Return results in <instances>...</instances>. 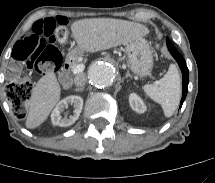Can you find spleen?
I'll return each mask as SVG.
<instances>
[{
    "mask_svg": "<svg viewBox=\"0 0 215 183\" xmlns=\"http://www.w3.org/2000/svg\"><path fill=\"white\" fill-rule=\"evenodd\" d=\"M144 91L162 106L166 117L172 116L181 96V79L176 65L171 64L167 73L155 84H146Z\"/></svg>",
    "mask_w": 215,
    "mask_h": 183,
    "instance_id": "3e777b00",
    "label": "spleen"
}]
</instances>
